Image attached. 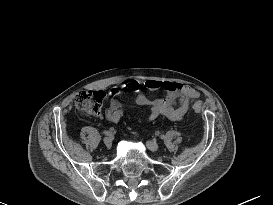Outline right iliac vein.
Wrapping results in <instances>:
<instances>
[{"label": "right iliac vein", "instance_id": "1", "mask_svg": "<svg viewBox=\"0 0 273 205\" xmlns=\"http://www.w3.org/2000/svg\"><path fill=\"white\" fill-rule=\"evenodd\" d=\"M103 142L106 145V147H111L112 146V138L111 137H105L103 139Z\"/></svg>", "mask_w": 273, "mask_h": 205}]
</instances>
